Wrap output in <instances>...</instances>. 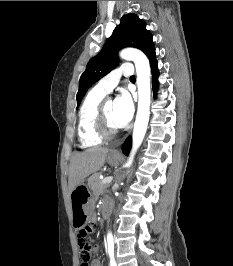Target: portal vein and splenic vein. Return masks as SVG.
<instances>
[{
	"label": "portal vein and splenic vein",
	"instance_id": "1",
	"mask_svg": "<svg viewBox=\"0 0 233 266\" xmlns=\"http://www.w3.org/2000/svg\"><path fill=\"white\" fill-rule=\"evenodd\" d=\"M113 180L112 176H107L102 180V184H108Z\"/></svg>",
	"mask_w": 233,
	"mask_h": 266
}]
</instances>
